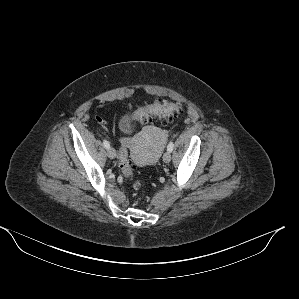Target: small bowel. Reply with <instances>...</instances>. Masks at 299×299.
<instances>
[{"label": "small bowel", "mask_w": 299, "mask_h": 299, "mask_svg": "<svg viewBox=\"0 0 299 299\" xmlns=\"http://www.w3.org/2000/svg\"><path fill=\"white\" fill-rule=\"evenodd\" d=\"M127 147H128V142L126 140L122 139L120 153H122L123 151H126Z\"/></svg>", "instance_id": "small-bowel-1"}]
</instances>
